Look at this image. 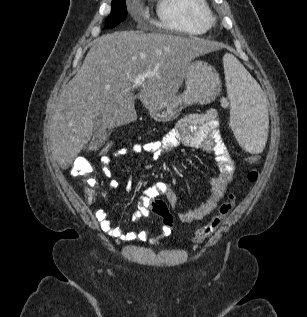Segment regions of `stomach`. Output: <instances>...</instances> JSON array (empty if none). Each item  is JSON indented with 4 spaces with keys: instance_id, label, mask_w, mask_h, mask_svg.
I'll return each mask as SVG.
<instances>
[{
    "instance_id": "obj_1",
    "label": "stomach",
    "mask_w": 307,
    "mask_h": 317,
    "mask_svg": "<svg viewBox=\"0 0 307 317\" xmlns=\"http://www.w3.org/2000/svg\"><path fill=\"white\" fill-rule=\"evenodd\" d=\"M184 79L186 89L182 95L173 96L165 105L152 104L147 107L153 119L162 122L173 121L179 116L183 107L210 102L219 94L221 87L219 75L205 61L188 63Z\"/></svg>"
}]
</instances>
